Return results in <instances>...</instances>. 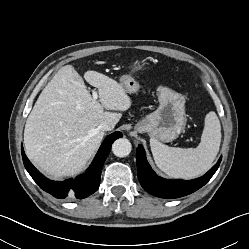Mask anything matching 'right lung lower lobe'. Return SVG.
<instances>
[{"label":"right lung lower lobe","instance_id":"right-lung-lower-lobe-1","mask_svg":"<svg viewBox=\"0 0 249 249\" xmlns=\"http://www.w3.org/2000/svg\"><path fill=\"white\" fill-rule=\"evenodd\" d=\"M120 137H122L121 132H114L107 136L86 173L75 180L71 178L63 182H55L47 179L31 164L21 147L24 166L39 187L54 197L83 199L98 189L102 167L110 152L111 144Z\"/></svg>","mask_w":249,"mask_h":249}]
</instances>
